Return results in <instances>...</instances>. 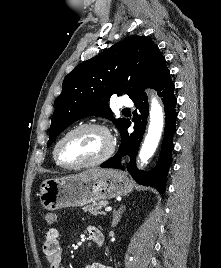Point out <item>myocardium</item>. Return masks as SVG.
I'll use <instances>...</instances> for the list:
<instances>
[{"mask_svg":"<svg viewBox=\"0 0 221 268\" xmlns=\"http://www.w3.org/2000/svg\"><path fill=\"white\" fill-rule=\"evenodd\" d=\"M82 129H97L102 131L108 138L109 140V146L108 149L106 150V152L104 154H102L100 157L82 163V164H77V165H71V164H66L64 162H62L58 156V151H59V147L62 144V142L71 134H73L76 131L82 130ZM115 152V142L113 139V136L111 134V132L109 131V129L103 125V124H99V123H83V124H79L75 127H73L72 129L68 130L55 144L54 146V150H53V157L55 162L65 168V169H72V170H77V169H83V168H88V167H92V166H96L99 165L105 161H107L109 158L112 157V155Z\"/></svg>","mask_w":221,"mask_h":268,"instance_id":"obj_1","label":"myocardium"}]
</instances>
